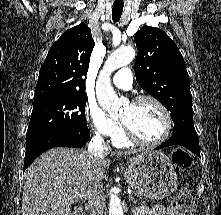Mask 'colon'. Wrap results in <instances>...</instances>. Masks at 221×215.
<instances>
[{"label": "colon", "mask_w": 221, "mask_h": 215, "mask_svg": "<svg viewBox=\"0 0 221 215\" xmlns=\"http://www.w3.org/2000/svg\"><path fill=\"white\" fill-rule=\"evenodd\" d=\"M172 161L178 170L184 171L191 167L192 156L184 149H176L172 154ZM174 207L181 215H193L196 207L195 199L183 188L174 200Z\"/></svg>", "instance_id": "1"}]
</instances>
